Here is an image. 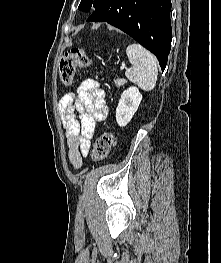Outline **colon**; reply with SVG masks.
Wrapping results in <instances>:
<instances>
[{
    "label": "colon",
    "mask_w": 221,
    "mask_h": 263,
    "mask_svg": "<svg viewBox=\"0 0 221 263\" xmlns=\"http://www.w3.org/2000/svg\"><path fill=\"white\" fill-rule=\"evenodd\" d=\"M91 60L85 50L73 47L66 52L60 59L59 73L64 84L72 82L77 67L85 68L90 66ZM114 135L112 132L102 133L96 140L93 150L92 159L100 161L105 159L113 146Z\"/></svg>",
    "instance_id": "1"
}]
</instances>
